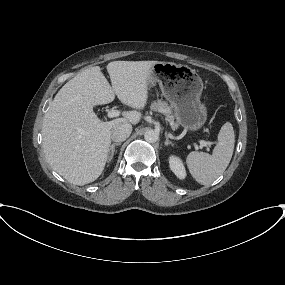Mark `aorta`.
Returning a JSON list of instances; mask_svg holds the SVG:
<instances>
[{"instance_id": "1", "label": "aorta", "mask_w": 285, "mask_h": 285, "mask_svg": "<svg viewBox=\"0 0 285 285\" xmlns=\"http://www.w3.org/2000/svg\"><path fill=\"white\" fill-rule=\"evenodd\" d=\"M145 141L154 143L158 140V134L154 130H147L144 134Z\"/></svg>"}]
</instances>
